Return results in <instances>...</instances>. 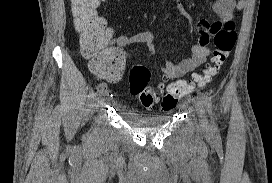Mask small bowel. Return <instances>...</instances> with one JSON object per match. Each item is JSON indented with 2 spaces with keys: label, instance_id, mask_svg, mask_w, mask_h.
Listing matches in <instances>:
<instances>
[{
  "label": "small bowel",
  "instance_id": "1",
  "mask_svg": "<svg viewBox=\"0 0 272 183\" xmlns=\"http://www.w3.org/2000/svg\"><path fill=\"white\" fill-rule=\"evenodd\" d=\"M244 3V0H217L214 3L213 9L218 15L219 20L214 23L222 24L230 20L235 11L241 10L244 7ZM179 10L183 15L187 16L180 6ZM198 30L201 37L198 42L193 43L191 55L189 57H186L179 62H165V65L162 68L165 79L171 80L180 78L187 73L194 71L206 61L210 53V49L207 45L208 39H214V36L217 35L216 31L209 30H220V25H211L207 20H201L198 23ZM107 31L109 33V42L111 43L109 49L117 55L118 61L105 73H98L95 71L100 78L114 82L121 77L125 65L123 49L126 46L142 43L147 45L152 54L157 53L154 34L150 30H144L133 35H122L114 39L112 37V30L107 27Z\"/></svg>",
  "mask_w": 272,
  "mask_h": 183
}]
</instances>
